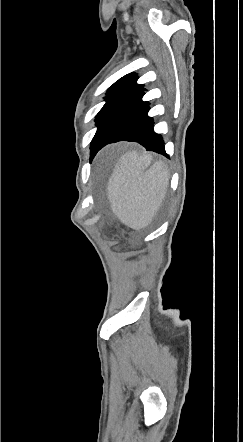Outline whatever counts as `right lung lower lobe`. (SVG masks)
<instances>
[{
  "mask_svg": "<svg viewBox=\"0 0 243 442\" xmlns=\"http://www.w3.org/2000/svg\"><path fill=\"white\" fill-rule=\"evenodd\" d=\"M144 88L122 99L98 126L91 142V158L105 145L118 141L138 142L149 151L165 153L162 137L153 130L148 116V102H143Z\"/></svg>",
  "mask_w": 243,
  "mask_h": 442,
  "instance_id": "obj_1",
  "label": "right lung lower lobe"
}]
</instances>
